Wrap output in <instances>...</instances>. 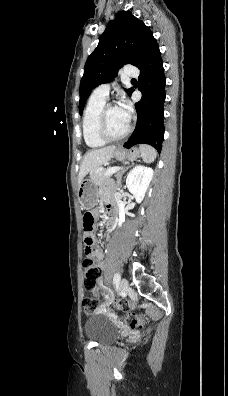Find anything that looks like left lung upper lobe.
I'll return each mask as SVG.
<instances>
[{"mask_svg": "<svg viewBox=\"0 0 228 396\" xmlns=\"http://www.w3.org/2000/svg\"><path fill=\"white\" fill-rule=\"evenodd\" d=\"M154 40L152 31L143 21L130 11L118 12L115 19L108 23L97 48L86 61L80 83V114L93 88L112 81L124 64L140 67ZM132 90L125 89L128 95Z\"/></svg>", "mask_w": 228, "mask_h": 396, "instance_id": "left-lung-upper-lobe-1", "label": "left lung upper lobe"}]
</instances>
